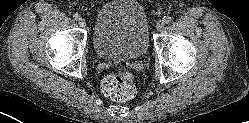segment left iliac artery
<instances>
[{
	"instance_id": "1",
	"label": "left iliac artery",
	"mask_w": 249,
	"mask_h": 123,
	"mask_svg": "<svg viewBox=\"0 0 249 123\" xmlns=\"http://www.w3.org/2000/svg\"><path fill=\"white\" fill-rule=\"evenodd\" d=\"M163 21L168 24V23L171 22V17L170 16H164Z\"/></svg>"
}]
</instances>
